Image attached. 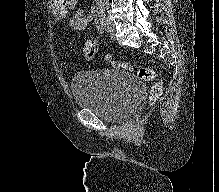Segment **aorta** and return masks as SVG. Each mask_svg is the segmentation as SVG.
<instances>
[{"mask_svg":"<svg viewBox=\"0 0 219 192\" xmlns=\"http://www.w3.org/2000/svg\"><path fill=\"white\" fill-rule=\"evenodd\" d=\"M98 5H104L108 2V0H95Z\"/></svg>","mask_w":219,"mask_h":192,"instance_id":"aorta-1","label":"aorta"}]
</instances>
